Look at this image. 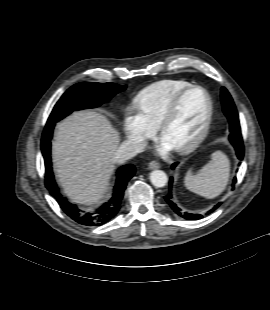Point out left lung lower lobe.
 <instances>
[{
	"label": "left lung lower lobe",
	"mask_w": 270,
	"mask_h": 310,
	"mask_svg": "<svg viewBox=\"0 0 270 310\" xmlns=\"http://www.w3.org/2000/svg\"><path fill=\"white\" fill-rule=\"evenodd\" d=\"M233 147L235 148L236 150V154L238 156V158L240 160L243 159V156H244V146H243V141L242 139L240 140H234L231 142ZM178 163H174L172 165V168L174 169L176 167ZM236 179L234 178V183H235ZM172 185H173V178L171 177L170 180H169V192L166 196H164L166 202L168 203V205L174 210L175 213H177L178 215H180L181 217L185 218V219H201L203 216L200 215V214H190V213H183L181 211L180 208L177 207V205L173 202L172 200ZM234 185V184H233ZM221 203H218L217 205L214 206L213 209H211L210 211H208L207 214L213 212L216 208L219 207Z\"/></svg>",
	"instance_id": "left-lung-lower-lobe-1"
}]
</instances>
